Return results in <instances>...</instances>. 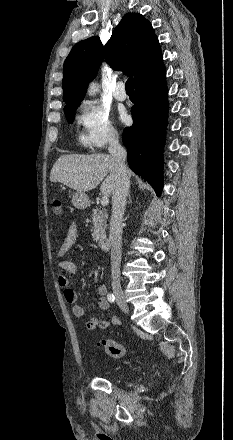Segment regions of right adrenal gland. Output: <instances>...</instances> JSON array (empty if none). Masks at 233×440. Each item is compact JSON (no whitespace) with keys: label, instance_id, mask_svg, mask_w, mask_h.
<instances>
[{"label":"right adrenal gland","instance_id":"right-adrenal-gland-1","mask_svg":"<svg viewBox=\"0 0 233 440\" xmlns=\"http://www.w3.org/2000/svg\"><path fill=\"white\" fill-rule=\"evenodd\" d=\"M128 197H129L128 203H130L131 202V195H130V193L128 194Z\"/></svg>","mask_w":233,"mask_h":440}]
</instances>
